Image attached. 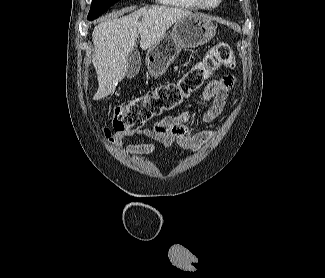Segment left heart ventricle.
<instances>
[{
  "label": "left heart ventricle",
  "instance_id": "left-heart-ventricle-1",
  "mask_svg": "<svg viewBox=\"0 0 325 278\" xmlns=\"http://www.w3.org/2000/svg\"><path fill=\"white\" fill-rule=\"evenodd\" d=\"M209 4L215 3L217 0H206Z\"/></svg>",
  "mask_w": 325,
  "mask_h": 278
}]
</instances>
